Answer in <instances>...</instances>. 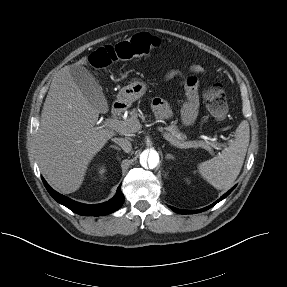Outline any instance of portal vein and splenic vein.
<instances>
[{
  "label": "portal vein and splenic vein",
  "instance_id": "18ae733b",
  "mask_svg": "<svg viewBox=\"0 0 287 287\" xmlns=\"http://www.w3.org/2000/svg\"><path fill=\"white\" fill-rule=\"evenodd\" d=\"M106 125L111 127V128H113V129H115V130H117V131H122V129H123L122 123L120 121H118V120H115V119H107L106 120ZM163 137L165 139H167V134L164 133ZM174 145L177 148H180V149L201 147V148H204L206 150H211V146H213V144L208 142V141H206V142H204V141H189V142H184V143H175Z\"/></svg>",
  "mask_w": 287,
  "mask_h": 287
}]
</instances>
